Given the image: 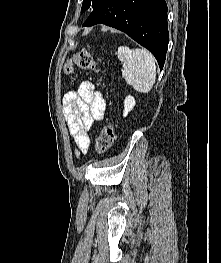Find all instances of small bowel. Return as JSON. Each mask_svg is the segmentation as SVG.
<instances>
[{
	"label": "small bowel",
	"mask_w": 221,
	"mask_h": 263,
	"mask_svg": "<svg viewBox=\"0 0 221 263\" xmlns=\"http://www.w3.org/2000/svg\"><path fill=\"white\" fill-rule=\"evenodd\" d=\"M62 103L70 135L76 144L74 156L80 159L89 150L92 124L105 116L106 103L90 81H84L76 91L66 93Z\"/></svg>",
	"instance_id": "c3829d8e"
}]
</instances>
